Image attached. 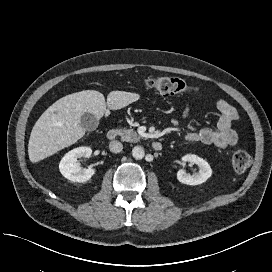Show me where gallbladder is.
I'll return each instance as SVG.
<instances>
[{"mask_svg": "<svg viewBox=\"0 0 272 272\" xmlns=\"http://www.w3.org/2000/svg\"><path fill=\"white\" fill-rule=\"evenodd\" d=\"M80 124L86 131H93L98 127L99 120L93 114L86 112L81 116Z\"/></svg>", "mask_w": 272, "mask_h": 272, "instance_id": "obj_1", "label": "gallbladder"}]
</instances>
